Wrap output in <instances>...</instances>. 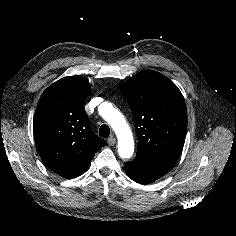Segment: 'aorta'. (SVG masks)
I'll return each mask as SVG.
<instances>
[{"label": "aorta", "instance_id": "aorta-1", "mask_svg": "<svg viewBox=\"0 0 236 236\" xmlns=\"http://www.w3.org/2000/svg\"><path fill=\"white\" fill-rule=\"evenodd\" d=\"M100 114L110 124L117 135L119 156L123 159L132 157L134 141L131 129L126 123L124 116L109 103H103L100 106Z\"/></svg>", "mask_w": 236, "mask_h": 236}]
</instances>
